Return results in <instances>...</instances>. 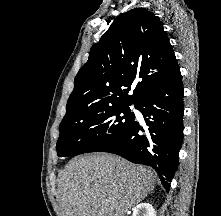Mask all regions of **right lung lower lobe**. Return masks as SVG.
<instances>
[{
	"label": "right lung lower lobe",
	"mask_w": 221,
	"mask_h": 216,
	"mask_svg": "<svg viewBox=\"0 0 221 216\" xmlns=\"http://www.w3.org/2000/svg\"><path fill=\"white\" fill-rule=\"evenodd\" d=\"M183 96L178 70L135 105L143 114L147 128L143 129L134 120L115 141L100 151L151 166L169 191L183 142Z\"/></svg>",
	"instance_id": "1"
}]
</instances>
